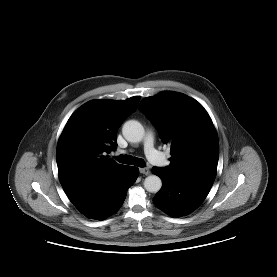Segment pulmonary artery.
<instances>
[{"label": "pulmonary artery", "mask_w": 277, "mask_h": 277, "mask_svg": "<svg viewBox=\"0 0 277 277\" xmlns=\"http://www.w3.org/2000/svg\"><path fill=\"white\" fill-rule=\"evenodd\" d=\"M144 151L151 163L159 166H166L169 164L163 154L154 147L153 134L151 132H147L145 136Z\"/></svg>", "instance_id": "obj_1"}]
</instances>
